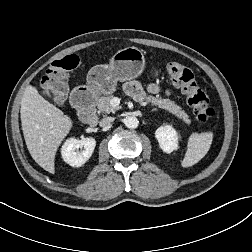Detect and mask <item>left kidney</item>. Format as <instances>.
I'll return each instance as SVG.
<instances>
[{
    "label": "left kidney",
    "instance_id": "5707ae66",
    "mask_svg": "<svg viewBox=\"0 0 252 252\" xmlns=\"http://www.w3.org/2000/svg\"><path fill=\"white\" fill-rule=\"evenodd\" d=\"M155 137L158 140L160 148L166 152L171 153L178 148V133L171 125L159 127L155 131Z\"/></svg>",
    "mask_w": 252,
    "mask_h": 252
}]
</instances>
